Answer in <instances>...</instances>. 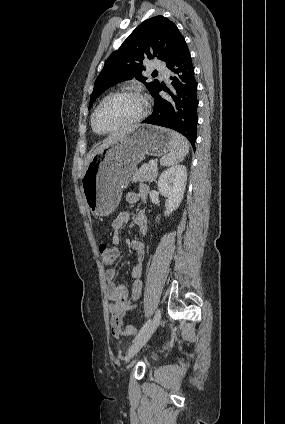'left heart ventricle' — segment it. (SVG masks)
I'll return each mask as SVG.
<instances>
[{"label": "left heart ventricle", "mask_w": 285, "mask_h": 424, "mask_svg": "<svg viewBox=\"0 0 285 424\" xmlns=\"http://www.w3.org/2000/svg\"><path fill=\"white\" fill-rule=\"evenodd\" d=\"M143 109L142 100L134 95H121L108 100L95 118L96 128L106 131L134 119Z\"/></svg>", "instance_id": "1"}]
</instances>
